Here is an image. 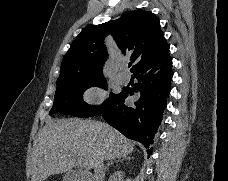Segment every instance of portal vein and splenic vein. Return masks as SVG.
<instances>
[{"label":"portal vein and splenic vein","mask_w":228,"mask_h":181,"mask_svg":"<svg viewBox=\"0 0 228 181\" xmlns=\"http://www.w3.org/2000/svg\"><path fill=\"white\" fill-rule=\"evenodd\" d=\"M76 165H78V167H85L84 161H82V159H77Z\"/></svg>","instance_id":"18ae733b"}]
</instances>
